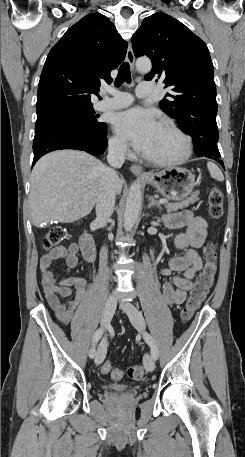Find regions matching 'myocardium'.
I'll list each match as a JSON object with an SVG mask.
<instances>
[{
  "label": "myocardium",
  "instance_id": "myocardium-1",
  "mask_svg": "<svg viewBox=\"0 0 245 457\" xmlns=\"http://www.w3.org/2000/svg\"><path fill=\"white\" fill-rule=\"evenodd\" d=\"M161 127L164 128L165 130L175 134L176 136H178L181 139L182 144H181L180 152L175 155L160 156V157L144 154L143 157L151 163H154L156 165H162V166L178 164V163L185 161L191 154V140H190L189 136L186 135L182 130H180L175 124H173L169 121H164L161 124Z\"/></svg>",
  "mask_w": 245,
  "mask_h": 457
}]
</instances>
